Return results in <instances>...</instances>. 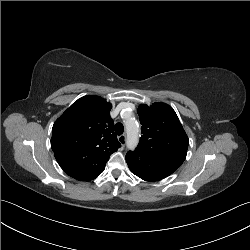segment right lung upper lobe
I'll return each mask as SVG.
<instances>
[{"mask_svg":"<svg viewBox=\"0 0 250 250\" xmlns=\"http://www.w3.org/2000/svg\"><path fill=\"white\" fill-rule=\"evenodd\" d=\"M112 105L99 96H84L53 125L51 147L71 177L90 181L100 175L112 153L121 147L113 132Z\"/></svg>","mask_w":250,"mask_h":250,"instance_id":"right-lung-upper-lobe-1","label":"right lung upper lobe"}]
</instances>
